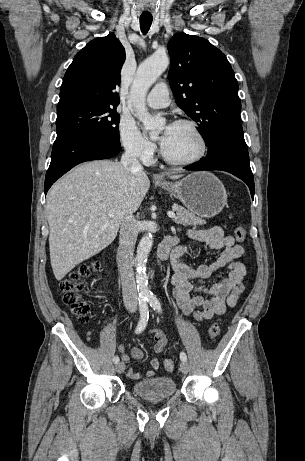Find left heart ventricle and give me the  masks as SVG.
<instances>
[{
    "instance_id": "obj_1",
    "label": "left heart ventricle",
    "mask_w": 305,
    "mask_h": 461,
    "mask_svg": "<svg viewBox=\"0 0 305 461\" xmlns=\"http://www.w3.org/2000/svg\"><path fill=\"white\" fill-rule=\"evenodd\" d=\"M165 129L162 130V135ZM164 151L174 159H188L199 150V142L194 133L186 126L173 125L171 135L163 145Z\"/></svg>"
}]
</instances>
